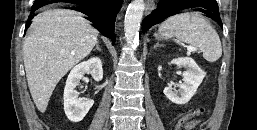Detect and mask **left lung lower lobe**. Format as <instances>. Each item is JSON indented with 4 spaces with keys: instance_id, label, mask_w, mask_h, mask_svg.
Here are the masks:
<instances>
[{
    "instance_id": "left-lung-lower-lobe-1",
    "label": "left lung lower lobe",
    "mask_w": 257,
    "mask_h": 130,
    "mask_svg": "<svg viewBox=\"0 0 257 130\" xmlns=\"http://www.w3.org/2000/svg\"><path fill=\"white\" fill-rule=\"evenodd\" d=\"M188 8H195L197 11L205 13L221 27L223 26L216 0H161L157 8L143 20L142 31L145 32L151 26Z\"/></svg>"
}]
</instances>
